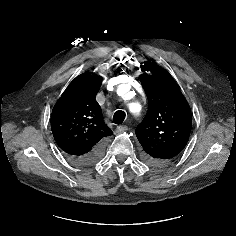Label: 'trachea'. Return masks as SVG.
<instances>
[{
  "label": "trachea",
  "instance_id": "trachea-1",
  "mask_svg": "<svg viewBox=\"0 0 236 236\" xmlns=\"http://www.w3.org/2000/svg\"><path fill=\"white\" fill-rule=\"evenodd\" d=\"M125 116H126V114L124 111H121V110L116 111L113 116V123L121 124L124 121Z\"/></svg>",
  "mask_w": 236,
  "mask_h": 236
}]
</instances>
